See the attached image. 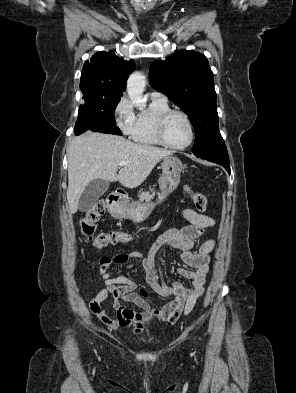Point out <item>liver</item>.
Returning <instances> with one entry per match:
<instances>
[{"instance_id":"1","label":"liver","mask_w":296,"mask_h":393,"mask_svg":"<svg viewBox=\"0 0 296 393\" xmlns=\"http://www.w3.org/2000/svg\"><path fill=\"white\" fill-rule=\"evenodd\" d=\"M67 153V200L70 213H75L80 196L91 181H119L127 188H136L161 159L173 152L137 144L117 135L88 131L71 140ZM120 161L127 164L117 174Z\"/></svg>"}]
</instances>
